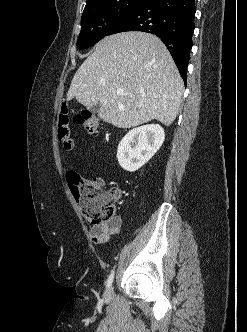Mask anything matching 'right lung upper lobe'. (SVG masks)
I'll list each match as a JSON object with an SVG mask.
<instances>
[{"label": "right lung upper lobe", "mask_w": 247, "mask_h": 332, "mask_svg": "<svg viewBox=\"0 0 247 332\" xmlns=\"http://www.w3.org/2000/svg\"><path fill=\"white\" fill-rule=\"evenodd\" d=\"M97 1H100V0H87L85 8L88 7V6H90L93 3L97 2Z\"/></svg>", "instance_id": "obj_1"}]
</instances>
